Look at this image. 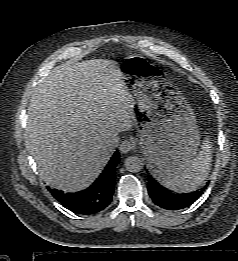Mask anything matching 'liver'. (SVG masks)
<instances>
[{
  "label": "liver",
  "instance_id": "obj_1",
  "mask_svg": "<svg viewBox=\"0 0 238 261\" xmlns=\"http://www.w3.org/2000/svg\"><path fill=\"white\" fill-rule=\"evenodd\" d=\"M121 77L116 61L93 59L58 66L36 87L26 148L50 187L87 188L111 157L107 141L132 128L134 114Z\"/></svg>",
  "mask_w": 238,
  "mask_h": 261
}]
</instances>
